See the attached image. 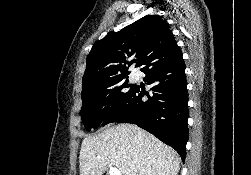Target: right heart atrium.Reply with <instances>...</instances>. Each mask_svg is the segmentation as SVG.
<instances>
[{"instance_id": "d8ad5b80", "label": "right heart atrium", "mask_w": 251, "mask_h": 175, "mask_svg": "<svg viewBox=\"0 0 251 175\" xmlns=\"http://www.w3.org/2000/svg\"><path fill=\"white\" fill-rule=\"evenodd\" d=\"M113 106L112 101H108V103L106 104L105 108L106 109H110Z\"/></svg>"}]
</instances>
